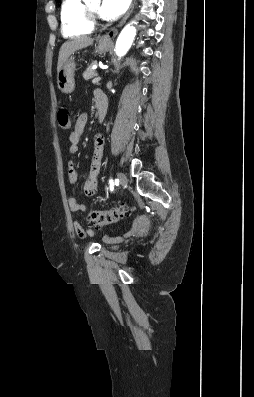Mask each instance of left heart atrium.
Wrapping results in <instances>:
<instances>
[{"instance_id":"1","label":"left heart atrium","mask_w":254,"mask_h":397,"mask_svg":"<svg viewBox=\"0 0 254 397\" xmlns=\"http://www.w3.org/2000/svg\"><path fill=\"white\" fill-rule=\"evenodd\" d=\"M131 0H102L99 12L106 19H116L128 8Z\"/></svg>"}]
</instances>
